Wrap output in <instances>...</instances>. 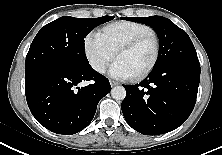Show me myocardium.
<instances>
[{
	"label": "myocardium",
	"mask_w": 222,
	"mask_h": 155,
	"mask_svg": "<svg viewBox=\"0 0 222 155\" xmlns=\"http://www.w3.org/2000/svg\"><path fill=\"white\" fill-rule=\"evenodd\" d=\"M148 39L154 40L155 55H154V58H153L151 64L145 70H143L141 73L133 76V79H135V80H142V79L146 78L155 69V67L158 64V61L160 59V54H161V43H160V39H159L157 33L153 32V33H146V34L140 35V36L134 38L133 40L123 44L116 51V57H118L121 53L133 50L138 45H140L141 43H143L144 41H146Z\"/></svg>",
	"instance_id": "1"
}]
</instances>
